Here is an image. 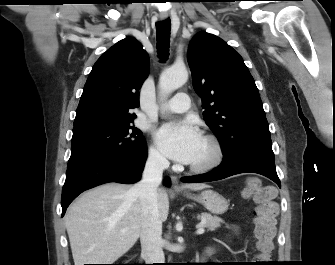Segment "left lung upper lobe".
I'll return each mask as SVG.
<instances>
[{
	"label": "left lung upper lobe",
	"instance_id": "5c2ea615",
	"mask_svg": "<svg viewBox=\"0 0 335 265\" xmlns=\"http://www.w3.org/2000/svg\"><path fill=\"white\" fill-rule=\"evenodd\" d=\"M188 64L203 118L218 138L224 159L256 153L274 159L268 122L255 81L242 57L219 37L196 34Z\"/></svg>",
	"mask_w": 335,
	"mask_h": 265
}]
</instances>
